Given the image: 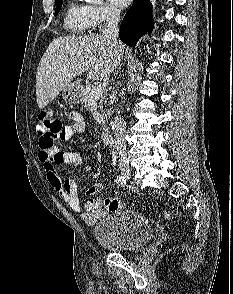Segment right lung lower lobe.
I'll use <instances>...</instances> for the list:
<instances>
[{
    "mask_svg": "<svg viewBox=\"0 0 233 294\" xmlns=\"http://www.w3.org/2000/svg\"><path fill=\"white\" fill-rule=\"evenodd\" d=\"M153 27L152 6L149 0H133L120 26L119 38L130 47Z\"/></svg>",
    "mask_w": 233,
    "mask_h": 294,
    "instance_id": "1",
    "label": "right lung lower lobe"
}]
</instances>
